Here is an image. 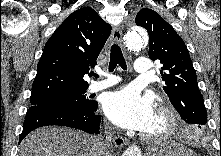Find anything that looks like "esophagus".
<instances>
[{
	"label": "esophagus",
	"instance_id": "esophagus-1",
	"mask_svg": "<svg viewBox=\"0 0 221 156\" xmlns=\"http://www.w3.org/2000/svg\"><path fill=\"white\" fill-rule=\"evenodd\" d=\"M111 38L118 44L122 43V30L119 27H115L112 30ZM113 142L117 148H122L128 144V140L120 135H116L113 138Z\"/></svg>",
	"mask_w": 221,
	"mask_h": 156
}]
</instances>
